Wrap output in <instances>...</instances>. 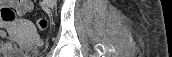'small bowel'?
<instances>
[{
	"mask_svg": "<svg viewBox=\"0 0 172 57\" xmlns=\"http://www.w3.org/2000/svg\"><path fill=\"white\" fill-rule=\"evenodd\" d=\"M13 3L17 5L19 14H24L31 8V1L29 0L14 1ZM0 37L4 39L0 48L2 52H10L15 48V44L7 38L5 31L2 29H0Z\"/></svg>",
	"mask_w": 172,
	"mask_h": 57,
	"instance_id": "c3829d8e",
	"label": "small bowel"
}]
</instances>
